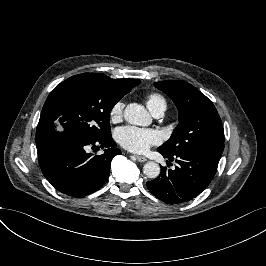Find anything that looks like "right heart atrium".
<instances>
[{"mask_svg":"<svg viewBox=\"0 0 266 266\" xmlns=\"http://www.w3.org/2000/svg\"><path fill=\"white\" fill-rule=\"evenodd\" d=\"M125 108V100L119 99L113 103L109 109V119L111 122H117L122 119Z\"/></svg>","mask_w":266,"mask_h":266,"instance_id":"right-heart-atrium-1","label":"right heart atrium"}]
</instances>
